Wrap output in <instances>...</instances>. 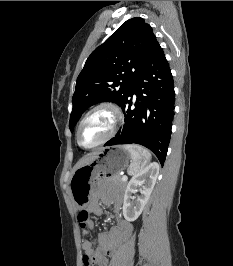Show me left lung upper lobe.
I'll return each mask as SVG.
<instances>
[{"mask_svg": "<svg viewBox=\"0 0 233 266\" xmlns=\"http://www.w3.org/2000/svg\"><path fill=\"white\" fill-rule=\"evenodd\" d=\"M158 45L152 27L135 17L97 47L76 81L70 130L73 131L80 116L93 104L109 101L122 107Z\"/></svg>", "mask_w": 233, "mask_h": 266, "instance_id": "obj_1", "label": "left lung upper lobe"}]
</instances>
